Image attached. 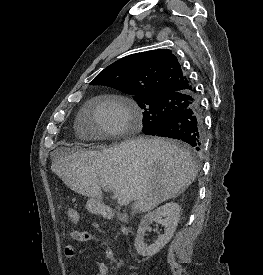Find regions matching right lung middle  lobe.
I'll use <instances>...</instances> for the list:
<instances>
[{
    "instance_id": "1",
    "label": "right lung middle lobe",
    "mask_w": 263,
    "mask_h": 275,
    "mask_svg": "<svg viewBox=\"0 0 263 275\" xmlns=\"http://www.w3.org/2000/svg\"><path fill=\"white\" fill-rule=\"evenodd\" d=\"M134 100L142 109L143 129L148 132L194 103V97L187 94L139 95Z\"/></svg>"
}]
</instances>
